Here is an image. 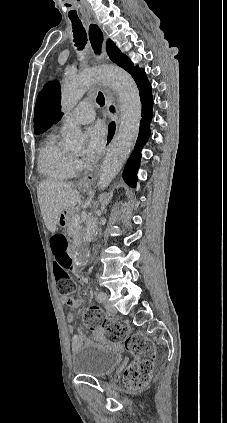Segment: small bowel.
<instances>
[{
  "mask_svg": "<svg viewBox=\"0 0 227 423\" xmlns=\"http://www.w3.org/2000/svg\"><path fill=\"white\" fill-rule=\"evenodd\" d=\"M61 302L71 308H78L83 304L81 300L74 296H61ZM73 318L74 315L72 312H68L66 314V321L69 323L68 330L71 333L73 332V327L70 325V323L73 321ZM93 337L99 341L104 340V334L100 330L93 331ZM71 341L73 348H78L84 343L83 335L81 333L73 334Z\"/></svg>",
  "mask_w": 227,
  "mask_h": 423,
  "instance_id": "1",
  "label": "small bowel"
}]
</instances>
